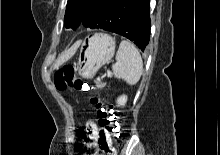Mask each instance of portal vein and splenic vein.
I'll return each instance as SVG.
<instances>
[{
	"label": "portal vein and splenic vein",
	"instance_id": "18ae733b",
	"mask_svg": "<svg viewBox=\"0 0 220 155\" xmlns=\"http://www.w3.org/2000/svg\"><path fill=\"white\" fill-rule=\"evenodd\" d=\"M107 75L109 76V75H110V73L108 72V73H107Z\"/></svg>",
	"mask_w": 220,
	"mask_h": 155
}]
</instances>
